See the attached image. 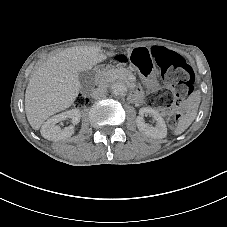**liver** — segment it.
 Instances as JSON below:
<instances>
[{"label":"liver","instance_id":"liver-1","mask_svg":"<svg viewBox=\"0 0 227 227\" xmlns=\"http://www.w3.org/2000/svg\"><path fill=\"white\" fill-rule=\"evenodd\" d=\"M111 54L97 46H76L36 65L25 91V112L30 126L39 130L50 116L72 106L81 89L79 74Z\"/></svg>","mask_w":227,"mask_h":227}]
</instances>
